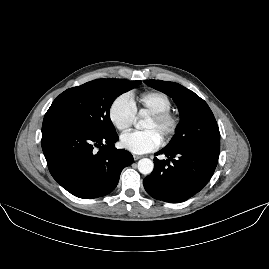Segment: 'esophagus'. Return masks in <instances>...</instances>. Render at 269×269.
I'll return each mask as SVG.
<instances>
[{
	"mask_svg": "<svg viewBox=\"0 0 269 269\" xmlns=\"http://www.w3.org/2000/svg\"><path fill=\"white\" fill-rule=\"evenodd\" d=\"M133 158H134V160L136 161V160H139L140 158H142V156H141V155H136V154H134V155H133Z\"/></svg>",
	"mask_w": 269,
	"mask_h": 269,
	"instance_id": "obj_1",
	"label": "esophagus"
}]
</instances>
